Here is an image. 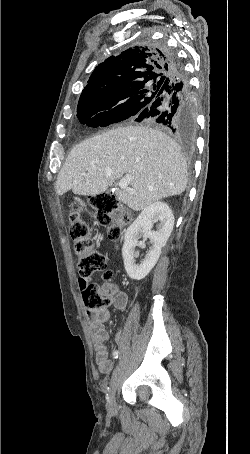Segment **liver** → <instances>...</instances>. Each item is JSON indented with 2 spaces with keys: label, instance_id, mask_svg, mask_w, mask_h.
<instances>
[{
  "label": "liver",
  "instance_id": "liver-1",
  "mask_svg": "<svg viewBox=\"0 0 250 454\" xmlns=\"http://www.w3.org/2000/svg\"><path fill=\"white\" fill-rule=\"evenodd\" d=\"M126 175L135 193L117 189L116 196L135 211L187 187V163L175 141L156 129L127 126L76 145L58 174L56 191L96 195Z\"/></svg>",
  "mask_w": 250,
  "mask_h": 454
}]
</instances>
